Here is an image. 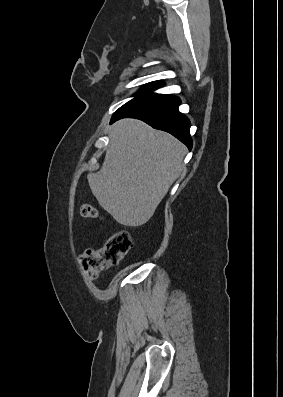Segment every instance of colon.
<instances>
[{
  "label": "colon",
  "instance_id": "5ec220e1",
  "mask_svg": "<svg viewBox=\"0 0 283 397\" xmlns=\"http://www.w3.org/2000/svg\"><path fill=\"white\" fill-rule=\"evenodd\" d=\"M80 214L85 218L96 219L100 214L89 203L80 207ZM133 247L130 233L126 230L118 231L97 249H87L81 256L83 268L92 281L98 278L103 270L118 264Z\"/></svg>",
  "mask_w": 283,
  "mask_h": 397
}]
</instances>
